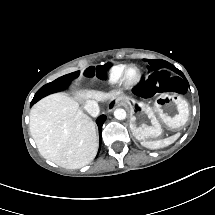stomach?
<instances>
[{
  "mask_svg": "<svg viewBox=\"0 0 215 215\" xmlns=\"http://www.w3.org/2000/svg\"><path fill=\"white\" fill-rule=\"evenodd\" d=\"M118 101L129 109L131 132L140 141L152 142L169 132L177 133V137L189 119L188 103L178 95L162 94L153 105L129 96Z\"/></svg>",
  "mask_w": 215,
  "mask_h": 215,
  "instance_id": "obj_1",
  "label": "stomach"
}]
</instances>
